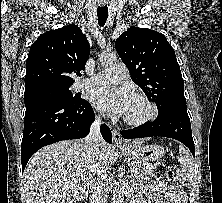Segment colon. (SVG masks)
Returning a JSON list of instances; mask_svg holds the SVG:
<instances>
[{
    "label": "colon",
    "instance_id": "5ec220e1",
    "mask_svg": "<svg viewBox=\"0 0 222 203\" xmlns=\"http://www.w3.org/2000/svg\"><path fill=\"white\" fill-rule=\"evenodd\" d=\"M166 179L167 182L171 185V186H176L177 185V180L175 178L174 172L172 170H168L166 172Z\"/></svg>",
    "mask_w": 222,
    "mask_h": 203
}]
</instances>
